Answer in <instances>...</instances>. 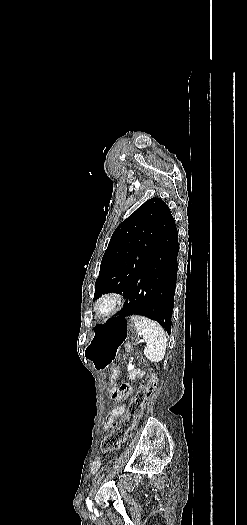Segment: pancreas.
I'll list each match as a JSON object with an SVG mask.
<instances>
[{
	"label": "pancreas",
	"mask_w": 247,
	"mask_h": 525,
	"mask_svg": "<svg viewBox=\"0 0 247 525\" xmlns=\"http://www.w3.org/2000/svg\"><path fill=\"white\" fill-rule=\"evenodd\" d=\"M124 347H126V351H130V349H133V347H131L130 343H126V345H124Z\"/></svg>",
	"instance_id": "cf45deb5"
}]
</instances>
